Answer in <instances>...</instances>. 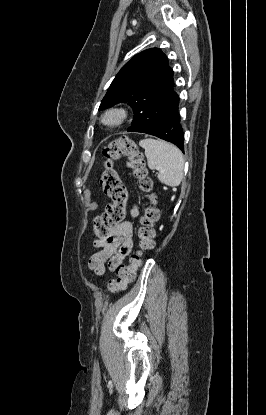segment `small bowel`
<instances>
[{
  "instance_id": "c3829d8e",
  "label": "small bowel",
  "mask_w": 266,
  "mask_h": 415,
  "mask_svg": "<svg viewBox=\"0 0 266 415\" xmlns=\"http://www.w3.org/2000/svg\"><path fill=\"white\" fill-rule=\"evenodd\" d=\"M138 214V207L134 206L131 210L132 218ZM133 231L132 221H124L107 238L95 240L93 246L100 250L91 256L89 268L98 276H103L108 270H117L132 250Z\"/></svg>"
}]
</instances>
